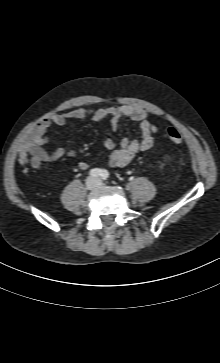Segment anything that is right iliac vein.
Instances as JSON below:
<instances>
[{"instance_id":"obj_1","label":"right iliac vein","mask_w":220,"mask_h":363,"mask_svg":"<svg viewBox=\"0 0 220 363\" xmlns=\"http://www.w3.org/2000/svg\"><path fill=\"white\" fill-rule=\"evenodd\" d=\"M86 186L89 190H92L94 189L96 186H97V182L92 179V178H89L87 181H86Z\"/></svg>"}]
</instances>
